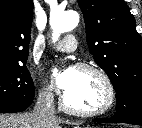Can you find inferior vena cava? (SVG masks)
<instances>
[{"label":"inferior vena cava","mask_w":142,"mask_h":128,"mask_svg":"<svg viewBox=\"0 0 142 128\" xmlns=\"http://www.w3.org/2000/svg\"><path fill=\"white\" fill-rule=\"evenodd\" d=\"M33 114L44 124L51 123L56 120L54 96L52 92L46 91L39 95Z\"/></svg>","instance_id":"obj_1"}]
</instances>
